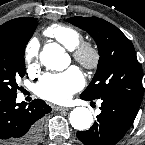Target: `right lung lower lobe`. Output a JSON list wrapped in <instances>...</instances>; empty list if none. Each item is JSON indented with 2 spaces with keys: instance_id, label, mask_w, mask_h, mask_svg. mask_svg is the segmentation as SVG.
I'll return each mask as SVG.
<instances>
[{
  "instance_id": "98d812e1",
  "label": "right lung lower lobe",
  "mask_w": 145,
  "mask_h": 145,
  "mask_svg": "<svg viewBox=\"0 0 145 145\" xmlns=\"http://www.w3.org/2000/svg\"><path fill=\"white\" fill-rule=\"evenodd\" d=\"M17 94L0 92V145H37L40 119L51 111L44 101L35 99L27 106L16 103Z\"/></svg>"
}]
</instances>
